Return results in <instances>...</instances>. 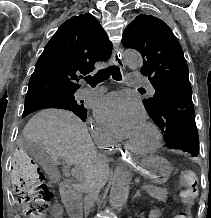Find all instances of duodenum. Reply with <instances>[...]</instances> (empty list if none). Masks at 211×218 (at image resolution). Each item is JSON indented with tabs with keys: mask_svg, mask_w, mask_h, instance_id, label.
Returning <instances> with one entry per match:
<instances>
[{
	"mask_svg": "<svg viewBox=\"0 0 211 218\" xmlns=\"http://www.w3.org/2000/svg\"><path fill=\"white\" fill-rule=\"evenodd\" d=\"M62 201L71 218H82L80 200L73 188L66 182L60 185Z\"/></svg>",
	"mask_w": 211,
	"mask_h": 218,
	"instance_id": "obj_1",
	"label": "duodenum"
}]
</instances>
